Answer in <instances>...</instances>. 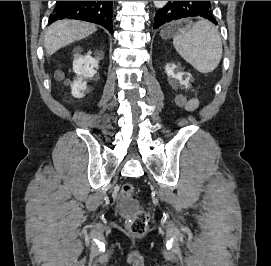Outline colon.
<instances>
[{
	"instance_id": "colon-1",
	"label": "colon",
	"mask_w": 271,
	"mask_h": 266,
	"mask_svg": "<svg viewBox=\"0 0 271 266\" xmlns=\"http://www.w3.org/2000/svg\"><path fill=\"white\" fill-rule=\"evenodd\" d=\"M121 196L124 199H134L136 196L135 188L132 183H125L121 188ZM127 227L129 231L136 236H143L148 228V215L140 209L127 220Z\"/></svg>"
}]
</instances>
